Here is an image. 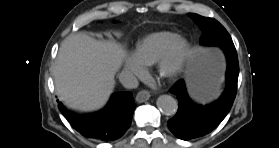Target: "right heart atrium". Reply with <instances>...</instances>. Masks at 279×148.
Masks as SVG:
<instances>
[{
	"label": "right heart atrium",
	"mask_w": 279,
	"mask_h": 148,
	"mask_svg": "<svg viewBox=\"0 0 279 148\" xmlns=\"http://www.w3.org/2000/svg\"><path fill=\"white\" fill-rule=\"evenodd\" d=\"M124 68L126 72L134 76L141 77L145 74V67L135 58V56L126 58Z\"/></svg>",
	"instance_id": "1"
}]
</instances>
